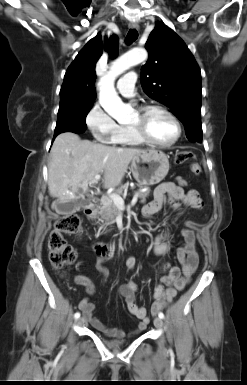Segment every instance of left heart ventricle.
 Instances as JSON below:
<instances>
[{"label":"left heart ventricle","instance_id":"b2bd125f","mask_svg":"<svg viewBox=\"0 0 247 385\" xmlns=\"http://www.w3.org/2000/svg\"><path fill=\"white\" fill-rule=\"evenodd\" d=\"M138 123L139 118L136 113L131 125H136ZM142 124L147 135L156 142H169L176 134V128L172 120L160 111L150 112L143 120Z\"/></svg>","mask_w":247,"mask_h":385}]
</instances>
